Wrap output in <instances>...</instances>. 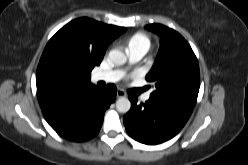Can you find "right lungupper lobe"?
Here are the masks:
<instances>
[{"label":"right lung upper lobe","instance_id":"1","mask_svg":"<svg viewBox=\"0 0 248 165\" xmlns=\"http://www.w3.org/2000/svg\"><path fill=\"white\" fill-rule=\"evenodd\" d=\"M125 27L78 18L62 27L47 43L36 72L37 97L41 109L49 108L89 92L96 87L90 73L99 65L108 45ZM73 56L59 60L56 53Z\"/></svg>","mask_w":248,"mask_h":165}]
</instances>
